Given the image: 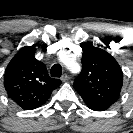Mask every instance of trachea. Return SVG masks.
I'll return each instance as SVG.
<instances>
[{"mask_svg":"<svg viewBox=\"0 0 133 133\" xmlns=\"http://www.w3.org/2000/svg\"><path fill=\"white\" fill-rule=\"evenodd\" d=\"M62 75V67L59 64H54L51 68L52 77H60Z\"/></svg>","mask_w":133,"mask_h":133,"instance_id":"1","label":"trachea"}]
</instances>
